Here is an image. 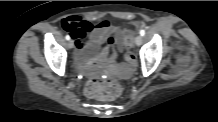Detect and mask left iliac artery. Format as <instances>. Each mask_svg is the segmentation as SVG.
Masks as SVG:
<instances>
[{
    "label": "left iliac artery",
    "instance_id": "obj_1",
    "mask_svg": "<svg viewBox=\"0 0 218 122\" xmlns=\"http://www.w3.org/2000/svg\"><path fill=\"white\" fill-rule=\"evenodd\" d=\"M140 35H141V36H144V35H145V30H144V29H141V30H140Z\"/></svg>",
    "mask_w": 218,
    "mask_h": 122
}]
</instances>
